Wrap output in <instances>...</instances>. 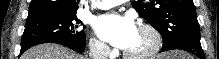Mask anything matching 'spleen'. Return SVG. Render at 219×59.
<instances>
[{
  "label": "spleen",
  "mask_w": 219,
  "mask_h": 59,
  "mask_svg": "<svg viewBox=\"0 0 219 59\" xmlns=\"http://www.w3.org/2000/svg\"><path fill=\"white\" fill-rule=\"evenodd\" d=\"M172 55L174 57H177V59H189L186 55H184L182 53H178V52L172 53Z\"/></svg>",
  "instance_id": "spleen-1"
}]
</instances>
